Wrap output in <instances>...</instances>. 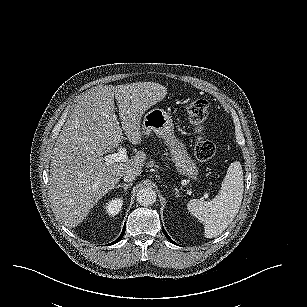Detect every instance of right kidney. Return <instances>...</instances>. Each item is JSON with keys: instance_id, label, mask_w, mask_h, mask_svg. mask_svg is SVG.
Masks as SVG:
<instances>
[{"instance_id": "obj_1", "label": "right kidney", "mask_w": 307, "mask_h": 307, "mask_svg": "<svg viewBox=\"0 0 307 307\" xmlns=\"http://www.w3.org/2000/svg\"><path fill=\"white\" fill-rule=\"evenodd\" d=\"M123 197H114L102 203V210L105 216L115 217L122 209Z\"/></svg>"}]
</instances>
